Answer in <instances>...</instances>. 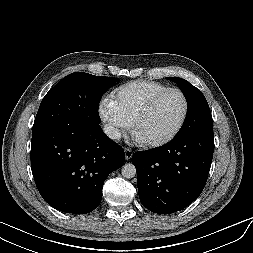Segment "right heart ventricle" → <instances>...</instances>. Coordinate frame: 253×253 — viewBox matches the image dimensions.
<instances>
[{
  "label": "right heart ventricle",
  "instance_id": "1",
  "mask_svg": "<svg viewBox=\"0 0 253 253\" xmlns=\"http://www.w3.org/2000/svg\"><path fill=\"white\" fill-rule=\"evenodd\" d=\"M167 88V85L158 81L135 80L116 89L114 100L126 122L132 125L146 103Z\"/></svg>",
  "mask_w": 253,
  "mask_h": 253
}]
</instances>
